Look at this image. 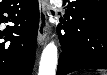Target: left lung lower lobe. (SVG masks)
Here are the masks:
<instances>
[{
  "label": "left lung lower lobe",
  "mask_w": 107,
  "mask_h": 75,
  "mask_svg": "<svg viewBox=\"0 0 107 75\" xmlns=\"http://www.w3.org/2000/svg\"><path fill=\"white\" fill-rule=\"evenodd\" d=\"M89 1L92 0H67L69 7L65 11V21L57 26L63 52L56 75H66L79 69H107V12L97 11L82 16V29L87 40L81 39L68 21L70 13Z\"/></svg>",
  "instance_id": "obj_1"
}]
</instances>
